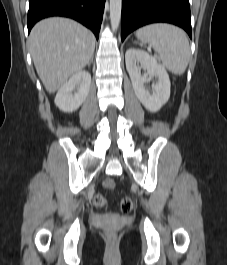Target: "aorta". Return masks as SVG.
<instances>
[{"label":"aorta","instance_id":"aorta-1","mask_svg":"<svg viewBox=\"0 0 227 265\" xmlns=\"http://www.w3.org/2000/svg\"><path fill=\"white\" fill-rule=\"evenodd\" d=\"M122 0H110V22L113 31L119 27L121 19Z\"/></svg>","mask_w":227,"mask_h":265}]
</instances>
